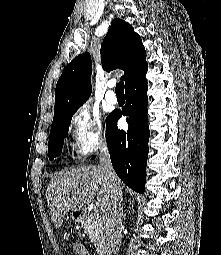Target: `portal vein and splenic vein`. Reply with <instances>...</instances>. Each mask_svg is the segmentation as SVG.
<instances>
[{"label": "portal vein and splenic vein", "mask_w": 221, "mask_h": 255, "mask_svg": "<svg viewBox=\"0 0 221 255\" xmlns=\"http://www.w3.org/2000/svg\"><path fill=\"white\" fill-rule=\"evenodd\" d=\"M94 210H95V212H97V213L101 210V206H100L99 203H96V204L94 205Z\"/></svg>", "instance_id": "18ae733b"}]
</instances>
